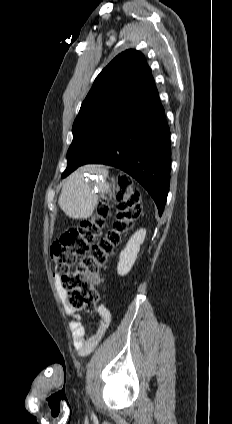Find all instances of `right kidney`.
Segmentation results:
<instances>
[{
  "label": "right kidney",
  "mask_w": 232,
  "mask_h": 424,
  "mask_svg": "<svg viewBox=\"0 0 232 424\" xmlns=\"http://www.w3.org/2000/svg\"><path fill=\"white\" fill-rule=\"evenodd\" d=\"M146 230L140 229L128 241L125 249L120 253L117 272L120 276L127 275L134 265L140 251V245L144 242Z\"/></svg>",
  "instance_id": "obj_1"
}]
</instances>
